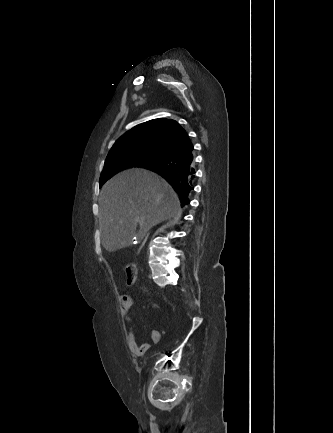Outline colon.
Returning <instances> with one entry per match:
<instances>
[{
    "label": "colon",
    "mask_w": 333,
    "mask_h": 433,
    "mask_svg": "<svg viewBox=\"0 0 333 433\" xmlns=\"http://www.w3.org/2000/svg\"><path fill=\"white\" fill-rule=\"evenodd\" d=\"M126 278L128 284H133L137 280L138 269L137 266L133 263H129L125 267Z\"/></svg>",
    "instance_id": "obj_1"
}]
</instances>
